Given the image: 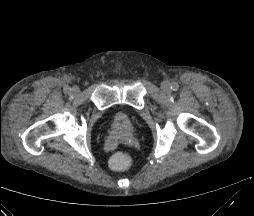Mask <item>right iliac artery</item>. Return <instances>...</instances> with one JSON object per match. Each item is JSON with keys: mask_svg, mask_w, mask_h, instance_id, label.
<instances>
[{"mask_svg": "<svg viewBox=\"0 0 254 216\" xmlns=\"http://www.w3.org/2000/svg\"><path fill=\"white\" fill-rule=\"evenodd\" d=\"M64 92H65L66 94H69V93L71 92V89H70L69 87H65V88H64Z\"/></svg>", "mask_w": 254, "mask_h": 216, "instance_id": "82829eb1", "label": "right iliac artery"}]
</instances>
